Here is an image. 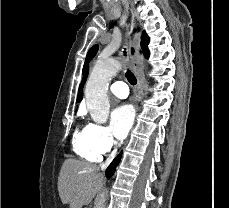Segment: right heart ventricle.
Returning <instances> with one entry per match:
<instances>
[{
  "instance_id": "right-heart-ventricle-1",
  "label": "right heart ventricle",
  "mask_w": 229,
  "mask_h": 208,
  "mask_svg": "<svg viewBox=\"0 0 229 208\" xmlns=\"http://www.w3.org/2000/svg\"><path fill=\"white\" fill-rule=\"evenodd\" d=\"M72 145L73 150L86 160L95 161L100 158V154H98L87 142L86 128L82 131L77 130L75 132Z\"/></svg>"
}]
</instances>
